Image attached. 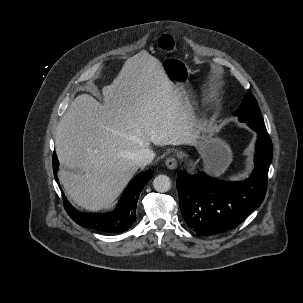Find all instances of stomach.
I'll return each mask as SVG.
<instances>
[{"mask_svg": "<svg viewBox=\"0 0 303 303\" xmlns=\"http://www.w3.org/2000/svg\"><path fill=\"white\" fill-rule=\"evenodd\" d=\"M161 64L167 77L188 99L185 86L191 73L189 66L184 61L173 57L164 59ZM193 129L197 132V150L205 169L215 175L223 174L232 160L229 145L218 137L201 135L205 131V123L195 117Z\"/></svg>", "mask_w": 303, "mask_h": 303, "instance_id": "obj_1", "label": "stomach"}]
</instances>
